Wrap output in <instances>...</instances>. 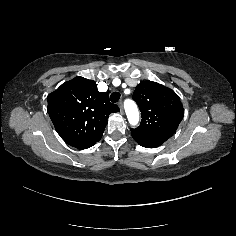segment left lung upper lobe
Wrapping results in <instances>:
<instances>
[{"mask_svg": "<svg viewBox=\"0 0 236 236\" xmlns=\"http://www.w3.org/2000/svg\"><path fill=\"white\" fill-rule=\"evenodd\" d=\"M133 99L141 111V124L131 129V134L148 139H169L177 130L184 116V109L177 94L157 82L141 81Z\"/></svg>", "mask_w": 236, "mask_h": 236, "instance_id": "1", "label": "left lung upper lobe"}]
</instances>
